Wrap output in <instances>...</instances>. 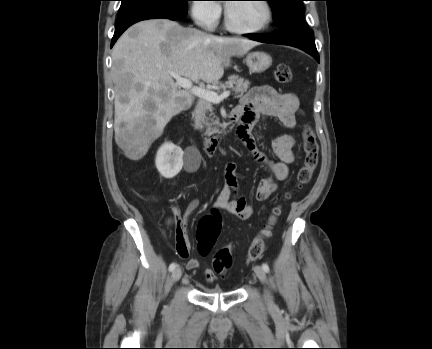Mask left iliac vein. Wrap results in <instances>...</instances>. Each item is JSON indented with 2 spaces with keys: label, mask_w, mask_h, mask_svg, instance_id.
Here are the masks:
<instances>
[{
  "label": "left iliac vein",
  "mask_w": 432,
  "mask_h": 349,
  "mask_svg": "<svg viewBox=\"0 0 432 349\" xmlns=\"http://www.w3.org/2000/svg\"><path fill=\"white\" fill-rule=\"evenodd\" d=\"M254 271H255L256 276L259 278V280L262 283H265L266 282V273L263 270V268H261L260 266L257 265L254 267ZM264 297H265V300H266L268 305H270V306L274 305L272 296L270 295V293L268 291H265Z\"/></svg>",
  "instance_id": "4c4485c4"
}]
</instances>
